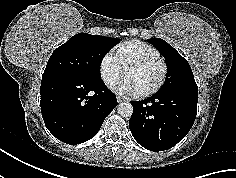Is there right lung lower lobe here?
<instances>
[{
	"mask_svg": "<svg viewBox=\"0 0 236 178\" xmlns=\"http://www.w3.org/2000/svg\"><path fill=\"white\" fill-rule=\"evenodd\" d=\"M40 94L46 127L57 139L71 145L93 138L117 106L116 96L102 80L47 75L42 77Z\"/></svg>",
	"mask_w": 236,
	"mask_h": 178,
	"instance_id": "1",
	"label": "right lung lower lobe"
}]
</instances>
